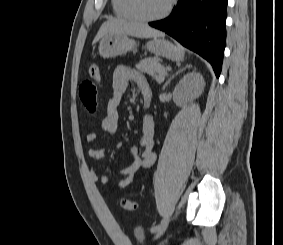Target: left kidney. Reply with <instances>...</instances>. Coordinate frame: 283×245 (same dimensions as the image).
I'll use <instances>...</instances> for the list:
<instances>
[{
    "label": "left kidney",
    "instance_id": "obj_1",
    "mask_svg": "<svg viewBox=\"0 0 283 245\" xmlns=\"http://www.w3.org/2000/svg\"><path fill=\"white\" fill-rule=\"evenodd\" d=\"M205 82L200 73L190 72L186 74L174 89V100L178 104H184L198 98L204 90Z\"/></svg>",
    "mask_w": 283,
    "mask_h": 245
}]
</instances>
